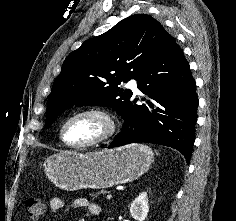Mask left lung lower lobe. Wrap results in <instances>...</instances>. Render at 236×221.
Instances as JSON below:
<instances>
[{
    "label": "left lung lower lobe",
    "mask_w": 236,
    "mask_h": 221,
    "mask_svg": "<svg viewBox=\"0 0 236 221\" xmlns=\"http://www.w3.org/2000/svg\"><path fill=\"white\" fill-rule=\"evenodd\" d=\"M137 87L152 101H131L122 116L121 134L108 148L155 143L177 149L189 163L199 102L189 64L169 33L137 78Z\"/></svg>",
    "instance_id": "1"
}]
</instances>
